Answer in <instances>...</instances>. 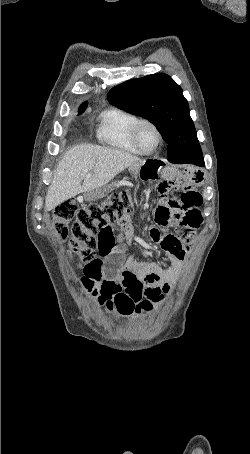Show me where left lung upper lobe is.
<instances>
[{
  "mask_svg": "<svg viewBox=\"0 0 250 454\" xmlns=\"http://www.w3.org/2000/svg\"><path fill=\"white\" fill-rule=\"evenodd\" d=\"M108 100L152 122L168 144L167 159L202 156L188 102L181 87L167 74L155 73L124 82L109 91Z\"/></svg>",
  "mask_w": 250,
  "mask_h": 454,
  "instance_id": "1",
  "label": "left lung upper lobe"
}]
</instances>
